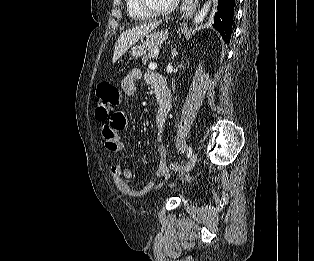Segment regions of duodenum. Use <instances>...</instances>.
Masks as SVG:
<instances>
[{"instance_id": "obj_1", "label": "duodenum", "mask_w": 314, "mask_h": 261, "mask_svg": "<svg viewBox=\"0 0 314 261\" xmlns=\"http://www.w3.org/2000/svg\"><path fill=\"white\" fill-rule=\"evenodd\" d=\"M155 101L160 112H168L171 108V94L166 80L157 75L155 81Z\"/></svg>"}]
</instances>
